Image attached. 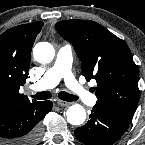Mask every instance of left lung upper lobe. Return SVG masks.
Instances as JSON below:
<instances>
[{"mask_svg": "<svg viewBox=\"0 0 145 145\" xmlns=\"http://www.w3.org/2000/svg\"><path fill=\"white\" fill-rule=\"evenodd\" d=\"M55 28L73 45L86 80H96L95 106L130 121L138 100L139 72L126 43L90 20H65Z\"/></svg>", "mask_w": 145, "mask_h": 145, "instance_id": "1", "label": "left lung upper lobe"}]
</instances>
